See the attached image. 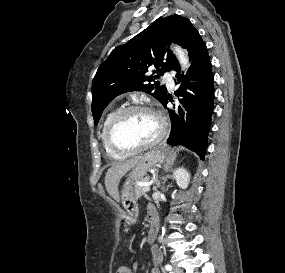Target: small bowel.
<instances>
[{
    "label": "small bowel",
    "instance_id": "small-bowel-1",
    "mask_svg": "<svg viewBox=\"0 0 285 273\" xmlns=\"http://www.w3.org/2000/svg\"><path fill=\"white\" fill-rule=\"evenodd\" d=\"M151 210H154V208L152 206H150L148 208V212H150ZM152 254H153L154 262L156 264H158L160 262V260H161L160 252L158 251V249L155 248V249H153ZM121 267H123V268H125L127 270L126 273H137V270H138V264H136V263L133 264L132 267H127V266H121ZM151 273H160L159 268L158 267H154L152 269Z\"/></svg>",
    "mask_w": 285,
    "mask_h": 273
}]
</instances>
